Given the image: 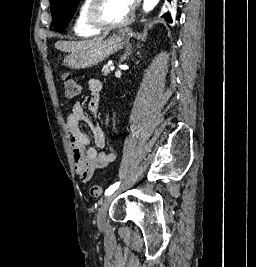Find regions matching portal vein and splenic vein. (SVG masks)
I'll return each mask as SVG.
<instances>
[{"label":"portal vein and splenic vein","instance_id":"portal-vein-and-splenic-vein-1","mask_svg":"<svg viewBox=\"0 0 256 267\" xmlns=\"http://www.w3.org/2000/svg\"><path fill=\"white\" fill-rule=\"evenodd\" d=\"M114 67H115L114 63H111V64L107 65V68L110 69V70H114Z\"/></svg>","mask_w":256,"mask_h":267}]
</instances>
